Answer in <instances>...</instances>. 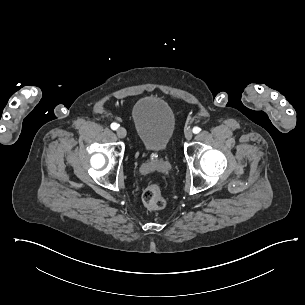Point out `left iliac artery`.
<instances>
[{
	"mask_svg": "<svg viewBox=\"0 0 305 305\" xmlns=\"http://www.w3.org/2000/svg\"><path fill=\"white\" fill-rule=\"evenodd\" d=\"M201 131V129L199 127H194L193 128V133L197 134Z\"/></svg>",
	"mask_w": 305,
	"mask_h": 305,
	"instance_id": "44dca946",
	"label": "left iliac artery"
}]
</instances>
